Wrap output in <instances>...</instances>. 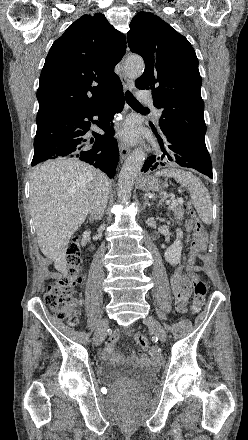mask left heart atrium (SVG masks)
Segmentation results:
<instances>
[{"mask_svg": "<svg viewBox=\"0 0 248 440\" xmlns=\"http://www.w3.org/2000/svg\"><path fill=\"white\" fill-rule=\"evenodd\" d=\"M120 137L127 143H134L138 139V127L133 121H128L120 130Z\"/></svg>", "mask_w": 248, "mask_h": 440, "instance_id": "39dd6f15", "label": "left heart atrium"}]
</instances>
